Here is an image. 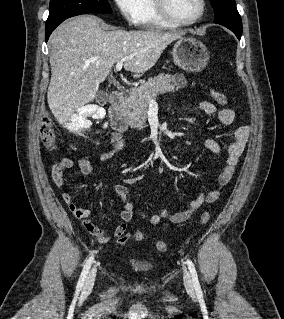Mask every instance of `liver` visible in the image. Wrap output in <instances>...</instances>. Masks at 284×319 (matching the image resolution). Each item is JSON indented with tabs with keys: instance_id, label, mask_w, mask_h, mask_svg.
Returning a JSON list of instances; mask_svg holds the SVG:
<instances>
[{
	"instance_id": "6515ba94",
	"label": "liver",
	"mask_w": 284,
	"mask_h": 319,
	"mask_svg": "<svg viewBox=\"0 0 284 319\" xmlns=\"http://www.w3.org/2000/svg\"><path fill=\"white\" fill-rule=\"evenodd\" d=\"M177 32L161 30L105 31L92 15H81L59 25L50 37L51 80L48 105L60 124L95 99L117 61L140 77L176 39Z\"/></svg>"
}]
</instances>
